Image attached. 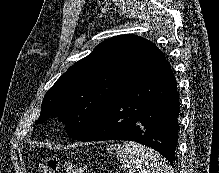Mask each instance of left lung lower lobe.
<instances>
[{
	"label": "left lung lower lobe",
	"instance_id": "obj_1",
	"mask_svg": "<svg viewBox=\"0 0 219 173\" xmlns=\"http://www.w3.org/2000/svg\"><path fill=\"white\" fill-rule=\"evenodd\" d=\"M179 94L175 77L162 51L145 62L138 80L113 101L77 140H131L175 161L178 140Z\"/></svg>",
	"mask_w": 219,
	"mask_h": 173
}]
</instances>
